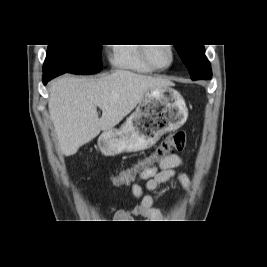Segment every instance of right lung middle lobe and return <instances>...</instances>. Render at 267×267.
Masks as SVG:
<instances>
[{
	"mask_svg": "<svg viewBox=\"0 0 267 267\" xmlns=\"http://www.w3.org/2000/svg\"><path fill=\"white\" fill-rule=\"evenodd\" d=\"M101 69V45H49L43 65V72L95 74Z\"/></svg>",
	"mask_w": 267,
	"mask_h": 267,
	"instance_id": "1",
	"label": "right lung middle lobe"
}]
</instances>
